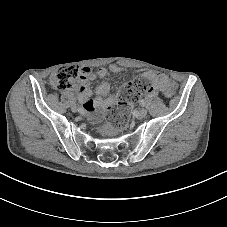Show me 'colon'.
<instances>
[{"label":"colon","mask_w":227,"mask_h":227,"mask_svg":"<svg viewBox=\"0 0 227 227\" xmlns=\"http://www.w3.org/2000/svg\"><path fill=\"white\" fill-rule=\"evenodd\" d=\"M80 80V73L76 67L64 66L55 71L51 76L49 84L58 90L76 88ZM151 83L145 76H139L133 81L125 84L119 95L117 106L111 111L109 121L112 128H123L128 121L131 106L137 101L142 92L150 91ZM104 128L102 133H106Z\"/></svg>","instance_id":"1"}]
</instances>
